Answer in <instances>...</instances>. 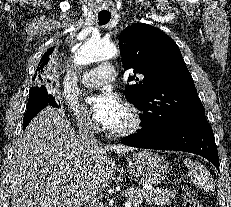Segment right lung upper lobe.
I'll return each mask as SVG.
<instances>
[{
  "label": "right lung upper lobe",
  "instance_id": "right-lung-upper-lobe-1",
  "mask_svg": "<svg viewBox=\"0 0 231 207\" xmlns=\"http://www.w3.org/2000/svg\"><path fill=\"white\" fill-rule=\"evenodd\" d=\"M54 47L49 48L47 50V52L43 55L42 59L40 60L37 69H36V73H35V78H40V75L44 72V67L45 65H47L48 61H49V57L50 55L53 53Z\"/></svg>",
  "mask_w": 231,
  "mask_h": 207
}]
</instances>
